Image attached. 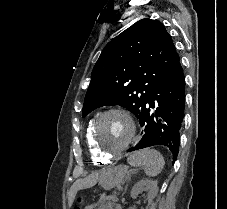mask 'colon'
Instances as JSON below:
<instances>
[{"instance_id": "1", "label": "colon", "mask_w": 227, "mask_h": 209, "mask_svg": "<svg viewBox=\"0 0 227 209\" xmlns=\"http://www.w3.org/2000/svg\"><path fill=\"white\" fill-rule=\"evenodd\" d=\"M74 209H81L80 206H75Z\"/></svg>"}]
</instances>
